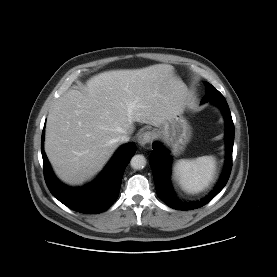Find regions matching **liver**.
<instances>
[{"label":"liver","instance_id":"liver-1","mask_svg":"<svg viewBox=\"0 0 277 277\" xmlns=\"http://www.w3.org/2000/svg\"><path fill=\"white\" fill-rule=\"evenodd\" d=\"M187 93L169 64L106 71L83 92L67 91L46 123L44 149L55 173L70 185L90 180L118 148L117 137L132 134L134 122L159 127L183 110Z\"/></svg>","mask_w":277,"mask_h":277}]
</instances>
